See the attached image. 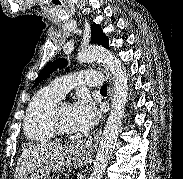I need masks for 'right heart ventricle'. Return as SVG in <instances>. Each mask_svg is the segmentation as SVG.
<instances>
[{
	"label": "right heart ventricle",
	"mask_w": 183,
	"mask_h": 179,
	"mask_svg": "<svg viewBox=\"0 0 183 179\" xmlns=\"http://www.w3.org/2000/svg\"><path fill=\"white\" fill-rule=\"evenodd\" d=\"M62 98L50 87H45L33 96L26 113L24 131L26 136L35 142L51 140L55 133L50 124L53 107Z\"/></svg>",
	"instance_id": "e07e8e85"
}]
</instances>
